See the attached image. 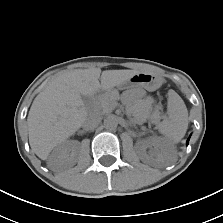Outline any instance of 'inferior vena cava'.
<instances>
[{"label": "inferior vena cava", "mask_w": 223, "mask_h": 223, "mask_svg": "<svg viewBox=\"0 0 223 223\" xmlns=\"http://www.w3.org/2000/svg\"><path fill=\"white\" fill-rule=\"evenodd\" d=\"M101 122V118L97 117V116H89L87 117V119L85 120L83 127L86 130H91L94 129L96 127H98V125Z\"/></svg>", "instance_id": "inferior-vena-cava-1"}]
</instances>
